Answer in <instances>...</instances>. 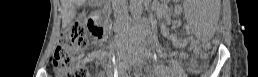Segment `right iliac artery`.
Masks as SVG:
<instances>
[{"mask_svg":"<svg viewBox=\"0 0 258 77\" xmlns=\"http://www.w3.org/2000/svg\"><path fill=\"white\" fill-rule=\"evenodd\" d=\"M114 77H118V72L117 71H115Z\"/></svg>","mask_w":258,"mask_h":77,"instance_id":"1","label":"right iliac artery"}]
</instances>
